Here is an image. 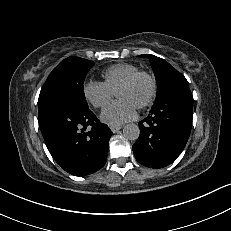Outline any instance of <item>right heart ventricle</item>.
Listing matches in <instances>:
<instances>
[{"label":"right heart ventricle","instance_id":"e07e8e85","mask_svg":"<svg viewBox=\"0 0 231 231\" xmlns=\"http://www.w3.org/2000/svg\"><path fill=\"white\" fill-rule=\"evenodd\" d=\"M137 71H139V68L131 63H117L111 65L102 72L103 83L112 92H115L124 80Z\"/></svg>","mask_w":231,"mask_h":231}]
</instances>
